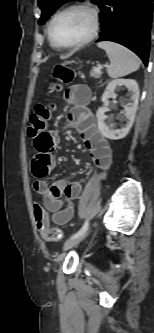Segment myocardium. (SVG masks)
Here are the masks:
<instances>
[{"mask_svg": "<svg viewBox=\"0 0 154 333\" xmlns=\"http://www.w3.org/2000/svg\"><path fill=\"white\" fill-rule=\"evenodd\" d=\"M71 10H82V11H85L89 15L90 20H91L90 31L86 37H84L83 39H81L77 42H74L69 45H59L55 42V40L53 38V34H52L53 23L60 15L66 13L68 11H71ZM99 29H100V17H99L98 11L93 6H91L90 4H87V3H73V4H70V5L60 9L52 16L51 20L49 21L48 27H47V33H48L49 40L54 47H56L58 49L68 50V49H74V48L84 46V45L90 43L91 41H93L97 37Z\"/></svg>", "mask_w": 154, "mask_h": 333, "instance_id": "myocardium-1", "label": "myocardium"}]
</instances>
